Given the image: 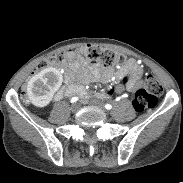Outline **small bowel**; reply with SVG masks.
Returning a JSON list of instances; mask_svg holds the SVG:
<instances>
[{"label": "small bowel", "instance_id": "c3829d8e", "mask_svg": "<svg viewBox=\"0 0 183 183\" xmlns=\"http://www.w3.org/2000/svg\"><path fill=\"white\" fill-rule=\"evenodd\" d=\"M76 69L81 73L83 80L85 82L92 80H102V81H110L114 77V71L111 68H102V67H87L85 65H77ZM116 76L124 79L125 77H129V81L127 82L126 90L132 91L136 86L141 83L142 72L137 64V62L133 59H130L116 74ZM84 90V89H83ZM85 91V90H84ZM86 93V92H85ZM62 91H60L56 98H60L62 96ZM86 96V94H85ZM100 98L107 97L108 94H98Z\"/></svg>", "mask_w": 183, "mask_h": 183}]
</instances>
